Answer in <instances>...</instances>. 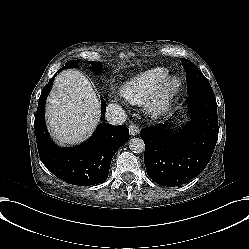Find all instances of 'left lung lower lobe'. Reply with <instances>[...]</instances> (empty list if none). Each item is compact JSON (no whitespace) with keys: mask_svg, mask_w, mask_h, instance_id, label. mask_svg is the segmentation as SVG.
Here are the masks:
<instances>
[{"mask_svg":"<svg viewBox=\"0 0 249 249\" xmlns=\"http://www.w3.org/2000/svg\"><path fill=\"white\" fill-rule=\"evenodd\" d=\"M191 121L179 133L166 124L141 131L147 174L157 184L178 186L199 175L207 166L218 139L217 103L213 92L189 94Z\"/></svg>","mask_w":249,"mask_h":249,"instance_id":"0a47b994","label":"left lung lower lobe"}]
</instances>
